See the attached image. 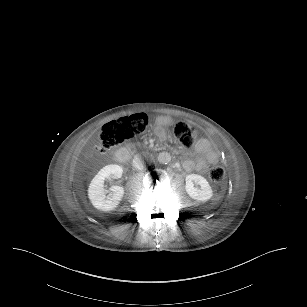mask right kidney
I'll list each match as a JSON object with an SVG mask.
<instances>
[{
	"label": "right kidney",
	"mask_w": 307,
	"mask_h": 307,
	"mask_svg": "<svg viewBox=\"0 0 307 307\" xmlns=\"http://www.w3.org/2000/svg\"><path fill=\"white\" fill-rule=\"evenodd\" d=\"M123 167L116 164H110L103 167L90 183L88 195L92 205L103 212L114 211L124 197L125 190L121 186H113L111 190L113 195H108L104 188L105 179L121 178L123 176Z\"/></svg>",
	"instance_id": "obj_1"
}]
</instances>
